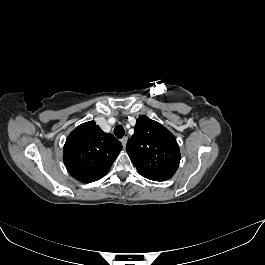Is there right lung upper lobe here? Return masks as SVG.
Listing matches in <instances>:
<instances>
[{
	"instance_id": "obj_1",
	"label": "right lung upper lobe",
	"mask_w": 265,
	"mask_h": 265,
	"mask_svg": "<svg viewBox=\"0 0 265 265\" xmlns=\"http://www.w3.org/2000/svg\"><path fill=\"white\" fill-rule=\"evenodd\" d=\"M121 149L119 140L110 133H104L94 121H89L69 134L63 160L72 177L89 183L107 174Z\"/></svg>"
}]
</instances>
